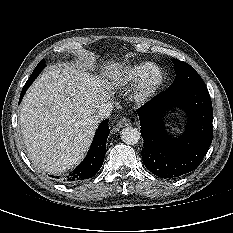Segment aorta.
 <instances>
[{
    "mask_svg": "<svg viewBox=\"0 0 233 233\" xmlns=\"http://www.w3.org/2000/svg\"><path fill=\"white\" fill-rule=\"evenodd\" d=\"M141 134L138 129L128 126L121 131V140L128 145L137 144L140 140Z\"/></svg>",
    "mask_w": 233,
    "mask_h": 233,
    "instance_id": "762f6f07",
    "label": "aorta"
}]
</instances>
